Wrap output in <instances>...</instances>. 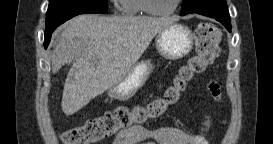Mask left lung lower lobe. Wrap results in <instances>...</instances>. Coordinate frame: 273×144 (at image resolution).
Here are the masks:
<instances>
[{
	"mask_svg": "<svg viewBox=\"0 0 273 144\" xmlns=\"http://www.w3.org/2000/svg\"><path fill=\"white\" fill-rule=\"evenodd\" d=\"M191 13L215 18L217 21L221 22L228 31H231L230 15L227 10L226 0H218L216 3L203 1L202 4L198 5L197 9L186 14ZM186 14L180 13L181 16Z\"/></svg>",
	"mask_w": 273,
	"mask_h": 144,
	"instance_id": "left-lung-lower-lobe-1",
	"label": "left lung lower lobe"
}]
</instances>
